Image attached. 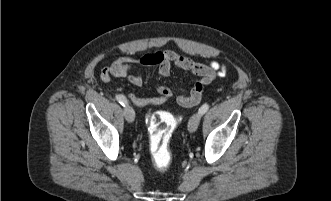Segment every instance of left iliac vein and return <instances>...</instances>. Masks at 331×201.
<instances>
[{"instance_id": "1", "label": "left iliac vein", "mask_w": 331, "mask_h": 201, "mask_svg": "<svg viewBox=\"0 0 331 201\" xmlns=\"http://www.w3.org/2000/svg\"><path fill=\"white\" fill-rule=\"evenodd\" d=\"M201 113H195L189 120L188 122V131L189 132H195L196 129L198 128V125L200 123V120H201Z\"/></svg>"}]
</instances>
